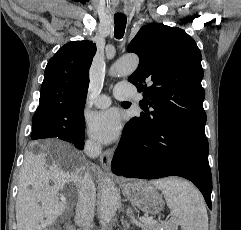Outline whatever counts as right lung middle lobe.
Here are the masks:
<instances>
[{"mask_svg": "<svg viewBox=\"0 0 241 230\" xmlns=\"http://www.w3.org/2000/svg\"><path fill=\"white\" fill-rule=\"evenodd\" d=\"M83 112L84 107L60 108L40 115H34L31 138L37 140L57 137L61 140H83L85 138ZM53 133H57L58 135L54 136L52 135Z\"/></svg>", "mask_w": 241, "mask_h": 230, "instance_id": "dd1d6c3e", "label": "right lung middle lobe"}]
</instances>
